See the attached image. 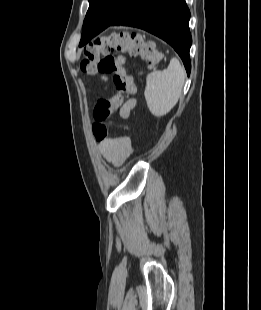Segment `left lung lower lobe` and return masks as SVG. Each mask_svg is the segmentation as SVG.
<instances>
[{
    "instance_id": "left-lung-lower-lobe-1",
    "label": "left lung lower lobe",
    "mask_w": 261,
    "mask_h": 310,
    "mask_svg": "<svg viewBox=\"0 0 261 310\" xmlns=\"http://www.w3.org/2000/svg\"><path fill=\"white\" fill-rule=\"evenodd\" d=\"M189 19L190 11L185 0H125L113 19L84 23L79 46L85 45L109 26L141 28L169 43L181 57L189 75V50L192 43Z\"/></svg>"
}]
</instances>
